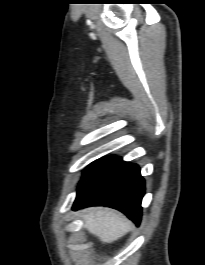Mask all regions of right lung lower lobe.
<instances>
[{
	"mask_svg": "<svg viewBox=\"0 0 205 265\" xmlns=\"http://www.w3.org/2000/svg\"><path fill=\"white\" fill-rule=\"evenodd\" d=\"M145 182L136 164L108 156L97 161L81 180L72 209L107 206L123 212L137 225Z\"/></svg>",
	"mask_w": 205,
	"mask_h": 265,
	"instance_id": "right-lung-lower-lobe-1",
	"label": "right lung lower lobe"
}]
</instances>
